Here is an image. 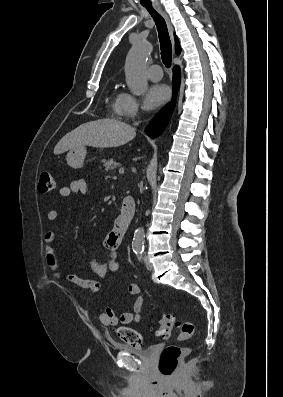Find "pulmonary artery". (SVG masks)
Masks as SVG:
<instances>
[{
	"label": "pulmonary artery",
	"mask_w": 283,
	"mask_h": 397,
	"mask_svg": "<svg viewBox=\"0 0 283 397\" xmlns=\"http://www.w3.org/2000/svg\"><path fill=\"white\" fill-rule=\"evenodd\" d=\"M148 77L152 81H160L162 78V68L158 64H154L148 69Z\"/></svg>",
	"instance_id": "e3ab8cb5"
}]
</instances>
